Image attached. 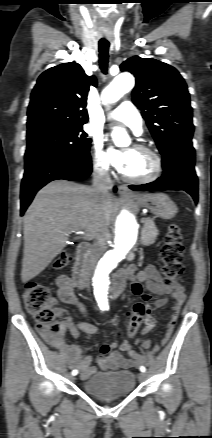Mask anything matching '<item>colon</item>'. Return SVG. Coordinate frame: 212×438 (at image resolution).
Returning a JSON list of instances; mask_svg holds the SVG:
<instances>
[{"mask_svg":"<svg viewBox=\"0 0 212 438\" xmlns=\"http://www.w3.org/2000/svg\"><path fill=\"white\" fill-rule=\"evenodd\" d=\"M184 246L182 243L181 230L176 224H171L166 232L163 245L160 250L162 262V274L166 282H178L184 272L183 266ZM70 262V255L61 252L51 263L54 270L64 269ZM23 299L27 311L33 316L39 326L48 327L54 334L61 335V324L54 322V309L52 291L49 286L42 283L31 282L27 284L23 292ZM150 315L148 299H142L134 304L132 311L127 317V334L134 337L140 325Z\"/></svg>","mask_w":212,"mask_h":438,"instance_id":"5ec220e1","label":"colon"}]
</instances>
